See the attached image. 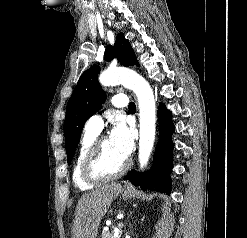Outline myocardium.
Segmentation results:
<instances>
[{
  "mask_svg": "<svg viewBox=\"0 0 247 238\" xmlns=\"http://www.w3.org/2000/svg\"><path fill=\"white\" fill-rule=\"evenodd\" d=\"M107 139L106 136L97 137L83 160L81 174L89 183H101L119 178L130 166V161L127 159L116 172L108 173L100 168L101 149Z\"/></svg>",
  "mask_w": 247,
  "mask_h": 238,
  "instance_id": "obj_1",
  "label": "myocardium"
}]
</instances>
